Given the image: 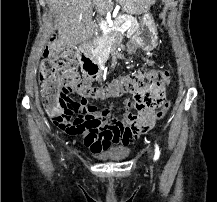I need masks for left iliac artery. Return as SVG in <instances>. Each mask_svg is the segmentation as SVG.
Listing matches in <instances>:
<instances>
[{
	"instance_id": "left-iliac-artery-1",
	"label": "left iliac artery",
	"mask_w": 217,
	"mask_h": 202,
	"mask_svg": "<svg viewBox=\"0 0 217 202\" xmlns=\"http://www.w3.org/2000/svg\"><path fill=\"white\" fill-rule=\"evenodd\" d=\"M159 155H160L159 147L156 144L155 145V156H154V159L157 160L159 158Z\"/></svg>"
}]
</instances>
